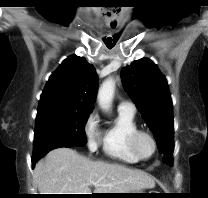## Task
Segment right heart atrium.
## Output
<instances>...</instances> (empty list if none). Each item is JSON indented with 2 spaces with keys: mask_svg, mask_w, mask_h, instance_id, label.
Instances as JSON below:
<instances>
[{
  "mask_svg": "<svg viewBox=\"0 0 208 198\" xmlns=\"http://www.w3.org/2000/svg\"><path fill=\"white\" fill-rule=\"evenodd\" d=\"M84 133L87 139V145L91 152L97 150L102 137L100 119L97 112L88 115L84 123Z\"/></svg>",
  "mask_w": 208,
  "mask_h": 198,
  "instance_id": "right-heart-atrium-1",
  "label": "right heart atrium"
}]
</instances>
